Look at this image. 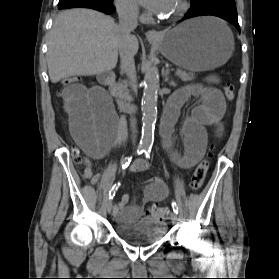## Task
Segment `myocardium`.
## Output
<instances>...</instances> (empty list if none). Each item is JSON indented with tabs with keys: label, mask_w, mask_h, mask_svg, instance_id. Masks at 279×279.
Listing matches in <instances>:
<instances>
[{
	"label": "myocardium",
	"mask_w": 279,
	"mask_h": 279,
	"mask_svg": "<svg viewBox=\"0 0 279 279\" xmlns=\"http://www.w3.org/2000/svg\"><path fill=\"white\" fill-rule=\"evenodd\" d=\"M187 8H188L187 0H179V4L175 12L172 15L165 17L164 20L165 21L176 20L186 12Z\"/></svg>",
	"instance_id": "obj_1"
}]
</instances>
